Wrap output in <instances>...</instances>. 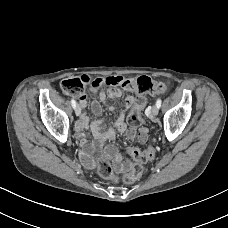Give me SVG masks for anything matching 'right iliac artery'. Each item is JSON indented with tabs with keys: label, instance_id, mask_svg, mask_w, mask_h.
Listing matches in <instances>:
<instances>
[{
	"label": "right iliac artery",
	"instance_id": "obj_1",
	"mask_svg": "<svg viewBox=\"0 0 228 228\" xmlns=\"http://www.w3.org/2000/svg\"><path fill=\"white\" fill-rule=\"evenodd\" d=\"M72 107L75 109L76 107V101L74 99L71 100Z\"/></svg>",
	"mask_w": 228,
	"mask_h": 228
}]
</instances>
